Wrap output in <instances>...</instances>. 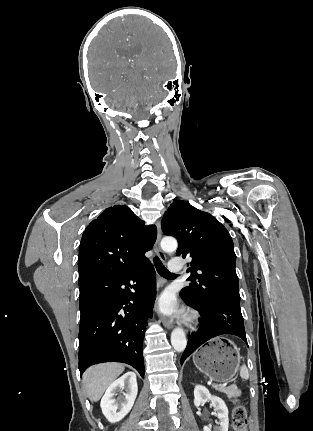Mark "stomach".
<instances>
[{
  "mask_svg": "<svg viewBox=\"0 0 313 431\" xmlns=\"http://www.w3.org/2000/svg\"><path fill=\"white\" fill-rule=\"evenodd\" d=\"M240 353L227 338H214L193 355V362L211 380L222 383L231 380L240 365Z\"/></svg>",
  "mask_w": 313,
  "mask_h": 431,
  "instance_id": "obj_1",
  "label": "stomach"
}]
</instances>
